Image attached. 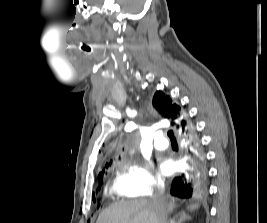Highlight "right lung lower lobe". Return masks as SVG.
<instances>
[{
  "label": "right lung lower lobe",
  "mask_w": 267,
  "mask_h": 223,
  "mask_svg": "<svg viewBox=\"0 0 267 223\" xmlns=\"http://www.w3.org/2000/svg\"><path fill=\"white\" fill-rule=\"evenodd\" d=\"M182 135L184 140L190 143L187 148L189 167L173 179L171 194L181 198H190L206 180V164L193 127L188 125Z\"/></svg>",
  "instance_id": "1"
}]
</instances>
